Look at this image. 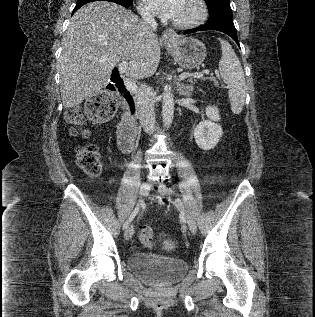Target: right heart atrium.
Here are the masks:
<instances>
[{
	"label": "right heart atrium",
	"instance_id": "d8ad5b80",
	"mask_svg": "<svg viewBox=\"0 0 315 317\" xmlns=\"http://www.w3.org/2000/svg\"><path fill=\"white\" fill-rule=\"evenodd\" d=\"M138 10L140 12V14L143 16V17H150L151 16V13L150 11L143 5V4H140L138 6Z\"/></svg>",
	"mask_w": 315,
	"mask_h": 317
}]
</instances>
